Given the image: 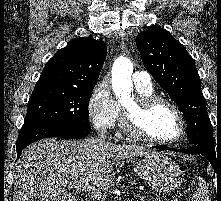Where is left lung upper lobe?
I'll use <instances>...</instances> for the list:
<instances>
[{
    "label": "left lung upper lobe",
    "mask_w": 221,
    "mask_h": 201,
    "mask_svg": "<svg viewBox=\"0 0 221 201\" xmlns=\"http://www.w3.org/2000/svg\"><path fill=\"white\" fill-rule=\"evenodd\" d=\"M136 45L145 68L182 109L189 141L215 150L200 77L184 46L159 27L138 34Z\"/></svg>",
    "instance_id": "1"
}]
</instances>
